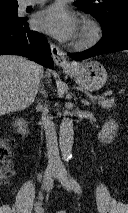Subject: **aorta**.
Listing matches in <instances>:
<instances>
[{
    "mask_svg": "<svg viewBox=\"0 0 128 213\" xmlns=\"http://www.w3.org/2000/svg\"><path fill=\"white\" fill-rule=\"evenodd\" d=\"M63 115L64 118L62 119L60 125L59 145L63 160L69 161L72 158L74 127L73 120L69 117H66L68 115L67 110L63 113Z\"/></svg>",
    "mask_w": 128,
    "mask_h": 213,
    "instance_id": "aorta-1",
    "label": "aorta"
}]
</instances>
